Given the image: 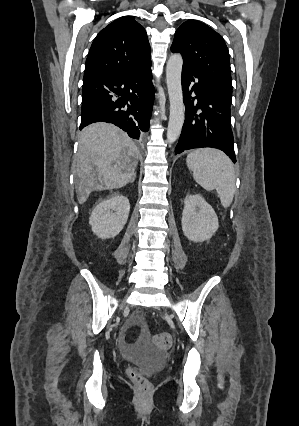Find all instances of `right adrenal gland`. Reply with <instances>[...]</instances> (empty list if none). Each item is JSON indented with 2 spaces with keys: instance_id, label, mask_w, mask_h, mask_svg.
Listing matches in <instances>:
<instances>
[{
  "instance_id": "right-adrenal-gland-1",
  "label": "right adrenal gland",
  "mask_w": 299,
  "mask_h": 426,
  "mask_svg": "<svg viewBox=\"0 0 299 426\" xmlns=\"http://www.w3.org/2000/svg\"><path fill=\"white\" fill-rule=\"evenodd\" d=\"M134 180H135V176L132 178V181H131V182H134Z\"/></svg>"
}]
</instances>
